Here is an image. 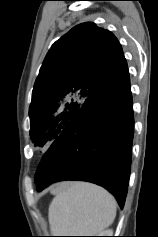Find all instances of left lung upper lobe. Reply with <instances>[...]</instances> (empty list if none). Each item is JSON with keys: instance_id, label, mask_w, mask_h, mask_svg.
I'll list each match as a JSON object with an SVG mask.
<instances>
[{"instance_id": "obj_1", "label": "left lung upper lobe", "mask_w": 158, "mask_h": 237, "mask_svg": "<svg viewBox=\"0 0 158 237\" xmlns=\"http://www.w3.org/2000/svg\"><path fill=\"white\" fill-rule=\"evenodd\" d=\"M117 38L93 22L79 24L47 53L32 92L30 137L35 146L56 139L77 111L128 75ZM43 178L38 172L35 183Z\"/></svg>"}]
</instances>
